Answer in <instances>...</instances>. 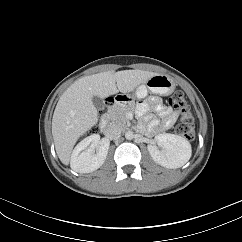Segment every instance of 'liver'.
Masks as SVG:
<instances>
[{
  "mask_svg": "<svg viewBox=\"0 0 242 242\" xmlns=\"http://www.w3.org/2000/svg\"><path fill=\"white\" fill-rule=\"evenodd\" d=\"M156 74L143 70L106 71L75 81L60 97L52 119V135L60 161L68 165L77 140L97 124L93 96L104 98L132 92Z\"/></svg>",
  "mask_w": 242,
  "mask_h": 242,
  "instance_id": "obj_1",
  "label": "liver"
}]
</instances>
